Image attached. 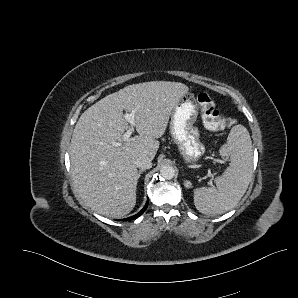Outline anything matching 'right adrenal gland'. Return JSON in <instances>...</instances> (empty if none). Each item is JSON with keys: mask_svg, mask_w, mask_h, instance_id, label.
<instances>
[{"mask_svg": "<svg viewBox=\"0 0 298 298\" xmlns=\"http://www.w3.org/2000/svg\"><path fill=\"white\" fill-rule=\"evenodd\" d=\"M144 171H145V169H140V170L138 171V179L140 178L141 174H142Z\"/></svg>", "mask_w": 298, "mask_h": 298, "instance_id": "obj_1", "label": "right adrenal gland"}]
</instances>
